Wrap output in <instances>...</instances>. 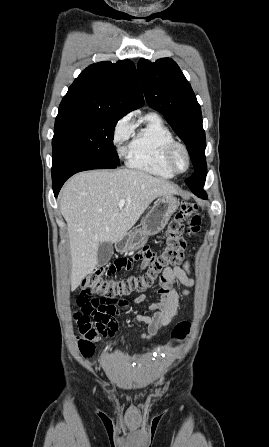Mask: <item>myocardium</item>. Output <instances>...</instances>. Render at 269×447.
<instances>
[{"instance_id": "myocardium-1", "label": "myocardium", "mask_w": 269, "mask_h": 447, "mask_svg": "<svg viewBox=\"0 0 269 447\" xmlns=\"http://www.w3.org/2000/svg\"><path fill=\"white\" fill-rule=\"evenodd\" d=\"M179 152H182L184 154V156H185L186 163H187V166H186L185 170H179L178 167H177L176 157H177ZM165 160H166L167 165L176 174L184 173L190 167V154H189V151H188L187 147L184 144L179 143L177 141H174L173 143H171L168 146L167 151H166Z\"/></svg>"}]
</instances>
